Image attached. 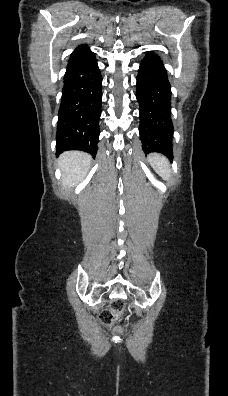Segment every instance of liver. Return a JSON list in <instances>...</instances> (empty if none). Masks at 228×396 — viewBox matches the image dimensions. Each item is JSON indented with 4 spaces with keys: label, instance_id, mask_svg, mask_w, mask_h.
I'll list each match as a JSON object with an SVG mask.
<instances>
[{
    "label": "liver",
    "instance_id": "liver-1",
    "mask_svg": "<svg viewBox=\"0 0 228 396\" xmlns=\"http://www.w3.org/2000/svg\"><path fill=\"white\" fill-rule=\"evenodd\" d=\"M91 156L84 152L69 151L63 153L58 165L62 170V185L65 188H72L78 185L87 175Z\"/></svg>",
    "mask_w": 228,
    "mask_h": 396
}]
</instances>
